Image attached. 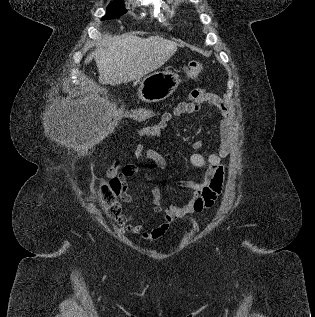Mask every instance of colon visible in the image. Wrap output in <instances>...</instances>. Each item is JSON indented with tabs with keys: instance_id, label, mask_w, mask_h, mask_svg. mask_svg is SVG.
<instances>
[{
	"instance_id": "5ec220e1",
	"label": "colon",
	"mask_w": 315,
	"mask_h": 317,
	"mask_svg": "<svg viewBox=\"0 0 315 317\" xmlns=\"http://www.w3.org/2000/svg\"><path fill=\"white\" fill-rule=\"evenodd\" d=\"M203 69L204 67L202 63L198 61H192L186 67L185 73L188 79H194L203 71ZM153 114H154V111L149 108H144L137 112L138 118H141V119L149 118L153 116ZM130 117L135 118V115H130ZM119 191H120V184L116 180L110 181L109 184L104 185L101 190L102 200L108 206L109 216L117 221L121 219L120 217L121 204L117 199L119 195Z\"/></svg>"
}]
</instances>
